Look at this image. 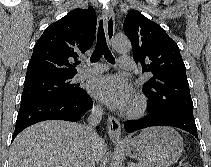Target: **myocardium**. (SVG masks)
I'll use <instances>...</instances> for the list:
<instances>
[{
	"instance_id": "obj_1",
	"label": "myocardium",
	"mask_w": 211,
	"mask_h": 167,
	"mask_svg": "<svg viewBox=\"0 0 211 167\" xmlns=\"http://www.w3.org/2000/svg\"><path fill=\"white\" fill-rule=\"evenodd\" d=\"M147 99L140 94L134 96L131 106L126 112V116L129 118H138L142 116L147 110Z\"/></svg>"
}]
</instances>
